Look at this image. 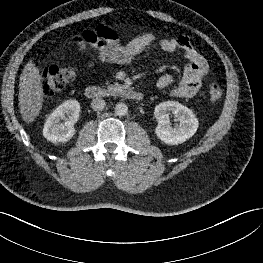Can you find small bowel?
Returning a JSON list of instances; mask_svg holds the SVG:
<instances>
[{"label": "small bowel", "mask_w": 263, "mask_h": 263, "mask_svg": "<svg viewBox=\"0 0 263 263\" xmlns=\"http://www.w3.org/2000/svg\"><path fill=\"white\" fill-rule=\"evenodd\" d=\"M74 40L86 58V66L89 70H94L98 64H129L151 46H157L164 52L182 51L189 63L184 68L178 85L170 92L174 97L195 96L201 88V80L209 71L207 60L185 35L161 38L154 33L143 32L122 45L114 29L99 24L94 29L84 30ZM174 82L173 75L165 74L157 80L156 87L164 89Z\"/></svg>", "instance_id": "1"}]
</instances>
